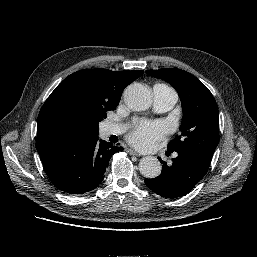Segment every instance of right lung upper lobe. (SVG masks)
Masks as SVG:
<instances>
[{"label":"right lung upper lobe","mask_w":257,"mask_h":257,"mask_svg":"<svg viewBox=\"0 0 257 257\" xmlns=\"http://www.w3.org/2000/svg\"><path fill=\"white\" fill-rule=\"evenodd\" d=\"M143 73L100 68L80 70L66 77L40 110L38 152L64 140L95 136L85 109L93 104H119L124 88Z\"/></svg>","instance_id":"1"}]
</instances>
